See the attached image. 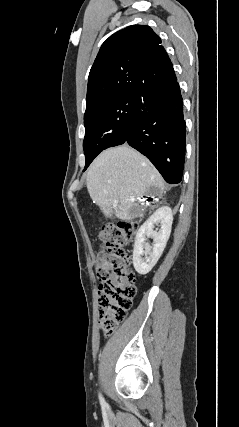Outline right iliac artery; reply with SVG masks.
I'll use <instances>...</instances> for the list:
<instances>
[{
	"mask_svg": "<svg viewBox=\"0 0 239 427\" xmlns=\"http://www.w3.org/2000/svg\"><path fill=\"white\" fill-rule=\"evenodd\" d=\"M99 399H100L101 405H105V401H104L103 397L101 396V394H99Z\"/></svg>",
	"mask_w": 239,
	"mask_h": 427,
	"instance_id": "right-iliac-artery-1",
	"label": "right iliac artery"
}]
</instances>
